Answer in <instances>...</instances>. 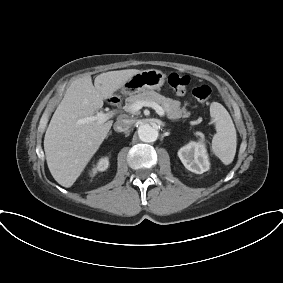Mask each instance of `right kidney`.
Instances as JSON below:
<instances>
[{
  "label": "right kidney",
  "instance_id": "right-kidney-1",
  "mask_svg": "<svg viewBox=\"0 0 283 283\" xmlns=\"http://www.w3.org/2000/svg\"><path fill=\"white\" fill-rule=\"evenodd\" d=\"M109 161L108 158H101L97 163L96 167L92 169V173L95 174L97 171H104L108 168Z\"/></svg>",
  "mask_w": 283,
  "mask_h": 283
}]
</instances>
